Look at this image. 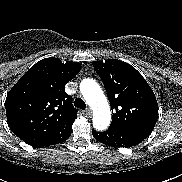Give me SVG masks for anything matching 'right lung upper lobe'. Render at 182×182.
I'll list each match as a JSON object with an SVG mask.
<instances>
[{"mask_svg":"<svg viewBox=\"0 0 182 182\" xmlns=\"http://www.w3.org/2000/svg\"><path fill=\"white\" fill-rule=\"evenodd\" d=\"M80 70L79 63L64 64L55 57L34 64L7 94L6 116L12 132L34 147L71 133L78 110L65 84Z\"/></svg>","mask_w":182,"mask_h":182,"instance_id":"cb5924a9","label":"right lung upper lobe"}]
</instances>
